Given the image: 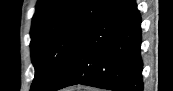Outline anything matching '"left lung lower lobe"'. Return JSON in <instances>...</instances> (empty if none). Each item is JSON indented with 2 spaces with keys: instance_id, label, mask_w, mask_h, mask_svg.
<instances>
[{
  "instance_id": "1",
  "label": "left lung lower lobe",
  "mask_w": 173,
  "mask_h": 91,
  "mask_svg": "<svg viewBox=\"0 0 173 91\" xmlns=\"http://www.w3.org/2000/svg\"><path fill=\"white\" fill-rule=\"evenodd\" d=\"M141 16L135 0H113L49 91L76 84L113 91H142Z\"/></svg>"
}]
</instances>
